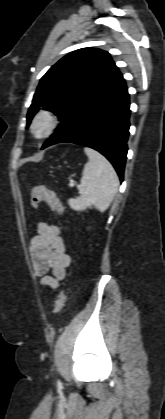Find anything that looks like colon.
I'll return each mask as SVG.
<instances>
[{"label": "colon", "mask_w": 165, "mask_h": 419, "mask_svg": "<svg viewBox=\"0 0 165 419\" xmlns=\"http://www.w3.org/2000/svg\"><path fill=\"white\" fill-rule=\"evenodd\" d=\"M31 203L34 207L38 206L40 203H45L53 212L59 215H62L63 213V208L58 199L56 198L54 192L46 187L38 186L32 189ZM65 300V289H61L55 301V313H59L62 311L65 304Z\"/></svg>", "instance_id": "colon-1"}]
</instances>
